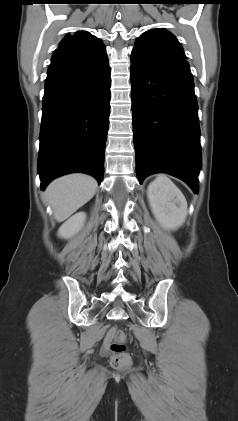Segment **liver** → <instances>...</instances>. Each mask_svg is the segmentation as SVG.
I'll return each instance as SVG.
<instances>
[{"mask_svg": "<svg viewBox=\"0 0 238 421\" xmlns=\"http://www.w3.org/2000/svg\"><path fill=\"white\" fill-rule=\"evenodd\" d=\"M97 181L85 174H70L52 181L45 191V200L58 222L66 220L95 194Z\"/></svg>", "mask_w": 238, "mask_h": 421, "instance_id": "obj_1", "label": "liver"}]
</instances>
